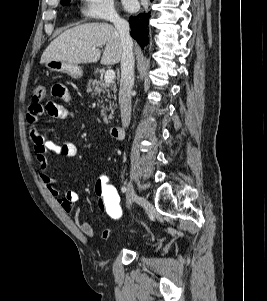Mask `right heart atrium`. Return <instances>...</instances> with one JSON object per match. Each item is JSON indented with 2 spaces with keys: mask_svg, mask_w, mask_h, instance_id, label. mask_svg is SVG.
<instances>
[{
  "mask_svg": "<svg viewBox=\"0 0 267 301\" xmlns=\"http://www.w3.org/2000/svg\"><path fill=\"white\" fill-rule=\"evenodd\" d=\"M83 13L90 19L115 21L119 19L114 0H82Z\"/></svg>",
  "mask_w": 267,
  "mask_h": 301,
  "instance_id": "right-heart-atrium-1",
  "label": "right heart atrium"
}]
</instances>
